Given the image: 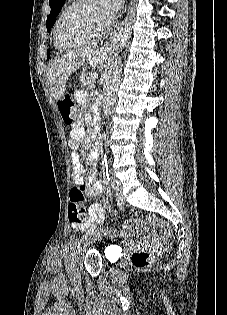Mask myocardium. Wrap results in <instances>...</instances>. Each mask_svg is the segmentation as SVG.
<instances>
[{"label":"myocardium","mask_w":227,"mask_h":315,"mask_svg":"<svg viewBox=\"0 0 227 315\" xmlns=\"http://www.w3.org/2000/svg\"><path fill=\"white\" fill-rule=\"evenodd\" d=\"M87 2H89V0H74V2L72 4H70L64 11L63 13L59 16L56 24H55V28H54V43L56 45V47L60 48V49H71V48H75L78 46L83 45L86 42H90L93 40H96L98 38H100L106 31V29L108 28V26H105L103 29H101L99 32H97L94 35L88 36L86 37L84 40L76 42V43H64L62 42L61 38H60V27L62 25V23L79 7H81L82 5L86 4Z\"/></svg>","instance_id":"f54148a6"}]
</instances>
